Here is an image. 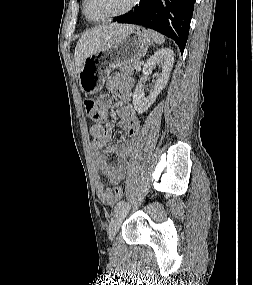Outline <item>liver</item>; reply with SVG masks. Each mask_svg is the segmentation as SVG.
<instances>
[{"mask_svg": "<svg viewBox=\"0 0 253 285\" xmlns=\"http://www.w3.org/2000/svg\"><path fill=\"white\" fill-rule=\"evenodd\" d=\"M133 25L110 24L96 27L85 32L76 44L74 59L76 71L79 72L84 60L104 48Z\"/></svg>", "mask_w": 253, "mask_h": 285, "instance_id": "obj_1", "label": "liver"}]
</instances>
